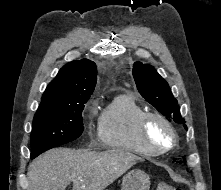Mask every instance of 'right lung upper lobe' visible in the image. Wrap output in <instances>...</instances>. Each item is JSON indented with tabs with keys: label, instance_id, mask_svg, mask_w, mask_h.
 <instances>
[{
	"label": "right lung upper lobe",
	"instance_id": "cb5924a9",
	"mask_svg": "<svg viewBox=\"0 0 221 190\" xmlns=\"http://www.w3.org/2000/svg\"><path fill=\"white\" fill-rule=\"evenodd\" d=\"M97 82V68L88 59L74 60L63 66L42 96V106H68L86 101Z\"/></svg>",
	"mask_w": 221,
	"mask_h": 190
}]
</instances>
